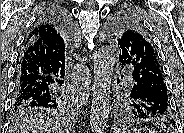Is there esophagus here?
Segmentation results:
<instances>
[{"label": "esophagus", "instance_id": "1", "mask_svg": "<svg viewBox=\"0 0 184 133\" xmlns=\"http://www.w3.org/2000/svg\"><path fill=\"white\" fill-rule=\"evenodd\" d=\"M84 73H85V76H86V80L87 81H90L91 80V76H90L89 70L88 69H85L84 70Z\"/></svg>", "mask_w": 184, "mask_h": 133}]
</instances>
